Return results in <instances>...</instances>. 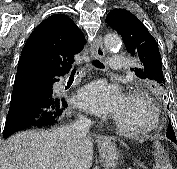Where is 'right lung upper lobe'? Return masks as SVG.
<instances>
[{
    "mask_svg": "<svg viewBox=\"0 0 177 169\" xmlns=\"http://www.w3.org/2000/svg\"><path fill=\"white\" fill-rule=\"evenodd\" d=\"M83 33L66 15L56 14L42 21L22 50L18 70H45L67 73L73 56L83 49Z\"/></svg>",
    "mask_w": 177,
    "mask_h": 169,
    "instance_id": "obj_1",
    "label": "right lung upper lobe"
}]
</instances>
